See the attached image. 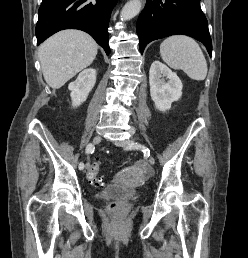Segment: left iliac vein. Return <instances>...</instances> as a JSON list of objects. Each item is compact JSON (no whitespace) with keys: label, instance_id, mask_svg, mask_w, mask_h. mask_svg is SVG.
Listing matches in <instances>:
<instances>
[{"label":"left iliac vein","instance_id":"left-iliac-vein-1","mask_svg":"<svg viewBox=\"0 0 248 258\" xmlns=\"http://www.w3.org/2000/svg\"><path fill=\"white\" fill-rule=\"evenodd\" d=\"M115 145L122 147L126 150H132L137 148L138 143L134 140H121V141L115 142ZM148 162L150 166H153L155 163V160L152 156H149Z\"/></svg>","mask_w":248,"mask_h":258}]
</instances>
